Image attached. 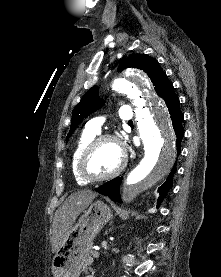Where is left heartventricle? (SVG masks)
I'll return each instance as SVG.
<instances>
[{"label":"left heart ventricle","instance_id":"obj_1","mask_svg":"<svg viewBox=\"0 0 221 277\" xmlns=\"http://www.w3.org/2000/svg\"><path fill=\"white\" fill-rule=\"evenodd\" d=\"M120 161L119 146L114 142L106 141L92 153L87 162V169L92 175H105L115 170Z\"/></svg>","mask_w":221,"mask_h":277}]
</instances>
